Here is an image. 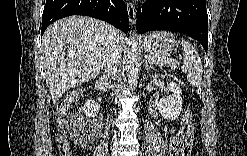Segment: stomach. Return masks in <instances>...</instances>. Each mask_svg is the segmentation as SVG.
I'll return each mask as SVG.
<instances>
[{"label": "stomach", "mask_w": 247, "mask_h": 156, "mask_svg": "<svg viewBox=\"0 0 247 156\" xmlns=\"http://www.w3.org/2000/svg\"><path fill=\"white\" fill-rule=\"evenodd\" d=\"M175 45V36L167 31L151 32L142 40V47L149 55H167Z\"/></svg>", "instance_id": "obj_1"}]
</instances>
